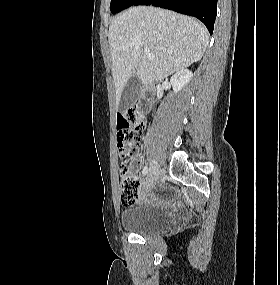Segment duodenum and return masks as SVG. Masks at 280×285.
<instances>
[{"instance_id": "duodenum-1", "label": "duodenum", "mask_w": 280, "mask_h": 285, "mask_svg": "<svg viewBox=\"0 0 280 285\" xmlns=\"http://www.w3.org/2000/svg\"><path fill=\"white\" fill-rule=\"evenodd\" d=\"M151 101V96L150 95H144V98L142 99L141 103H140V106L143 108V109H147L149 103Z\"/></svg>"}]
</instances>
